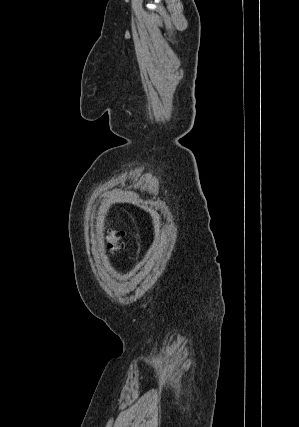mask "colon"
Listing matches in <instances>:
<instances>
[{
  "label": "colon",
  "instance_id": "5ec220e1",
  "mask_svg": "<svg viewBox=\"0 0 299 427\" xmlns=\"http://www.w3.org/2000/svg\"><path fill=\"white\" fill-rule=\"evenodd\" d=\"M120 235L116 232L109 231L107 232V251L113 253L117 251L119 246Z\"/></svg>",
  "mask_w": 299,
  "mask_h": 427
}]
</instances>
